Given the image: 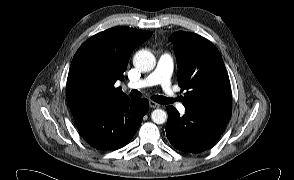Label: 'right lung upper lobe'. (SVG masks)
Here are the masks:
<instances>
[{"mask_svg":"<svg viewBox=\"0 0 294 180\" xmlns=\"http://www.w3.org/2000/svg\"><path fill=\"white\" fill-rule=\"evenodd\" d=\"M152 32L129 27H113L100 32L77 50L67 78V102L73 117L128 98L117 80L124 78L132 51Z\"/></svg>","mask_w":294,"mask_h":180,"instance_id":"obj_1","label":"right lung upper lobe"}]
</instances>
